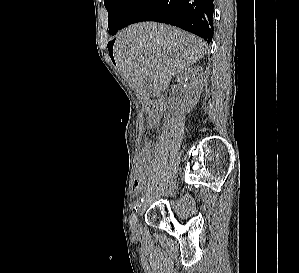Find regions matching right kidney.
<instances>
[{
	"label": "right kidney",
	"instance_id": "1",
	"mask_svg": "<svg viewBox=\"0 0 299 273\" xmlns=\"http://www.w3.org/2000/svg\"><path fill=\"white\" fill-rule=\"evenodd\" d=\"M203 75V69L200 66L189 67L182 71L177 76V81L181 83H185L184 88V97L183 100L173 98L170 102L171 105H181L184 108H187L189 112L197 103L198 98L202 92L203 85L200 80H196L190 84L186 83L187 80L192 77L193 79H198Z\"/></svg>",
	"mask_w": 299,
	"mask_h": 273
}]
</instances>
